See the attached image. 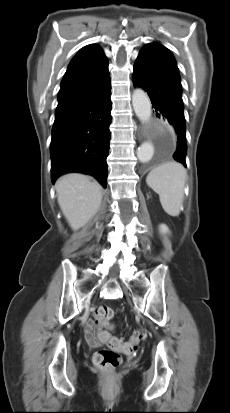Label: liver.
<instances>
[{"instance_id": "liver-1", "label": "liver", "mask_w": 230, "mask_h": 413, "mask_svg": "<svg viewBox=\"0 0 230 413\" xmlns=\"http://www.w3.org/2000/svg\"><path fill=\"white\" fill-rule=\"evenodd\" d=\"M58 204L73 230L88 223L102 202V187L90 177L71 173L56 182Z\"/></svg>"}]
</instances>
